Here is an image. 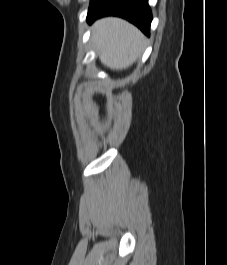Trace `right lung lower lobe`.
<instances>
[{"label":"right lung lower lobe","instance_id":"right-lung-lower-lobe-1","mask_svg":"<svg viewBox=\"0 0 227 265\" xmlns=\"http://www.w3.org/2000/svg\"><path fill=\"white\" fill-rule=\"evenodd\" d=\"M109 15L125 18L149 36L152 14L148 0H106L87 21L91 24L96 19Z\"/></svg>","mask_w":227,"mask_h":265}]
</instances>
